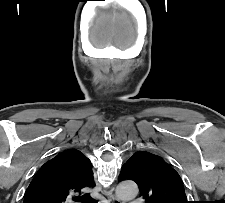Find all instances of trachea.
<instances>
[{
	"label": "trachea",
	"instance_id": "obj_1",
	"mask_svg": "<svg viewBox=\"0 0 225 203\" xmlns=\"http://www.w3.org/2000/svg\"><path fill=\"white\" fill-rule=\"evenodd\" d=\"M81 201L82 203H96V201L91 198L89 194L83 195L81 198H76V201Z\"/></svg>",
	"mask_w": 225,
	"mask_h": 203
}]
</instances>
